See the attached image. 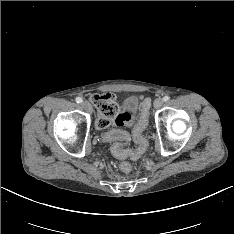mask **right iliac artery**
<instances>
[{
	"label": "right iliac artery",
	"mask_w": 234,
	"mask_h": 234,
	"mask_svg": "<svg viewBox=\"0 0 234 234\" xmlns=\"http://www.w3.org/2000/svg\"><path fill=\"white\" fill-rule=\"evenodd\" d=\"M75 100L77 103H82V101H83L82 98H80V97H77Z\"/></svg>",
	"instance_id": "82829eb1"
}]
</instances>
